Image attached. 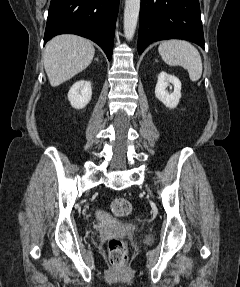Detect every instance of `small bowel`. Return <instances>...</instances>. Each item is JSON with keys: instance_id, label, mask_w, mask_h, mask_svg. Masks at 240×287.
<instances>
[{"instance_id": "1", "label": "small bowel", "mask_w": 240, "mask_h": 287, "mask_svg": "<svg viewBox=\"0 0 240 287\" xmlns=\"http://www.w3.org/2000/svg\"><path fill=\"white\" fill-rule=\"evenodd\" d=\"M99 215H100L101 217H106V214H105L104 212H100Z\"/></svg>"}]
</instances>
